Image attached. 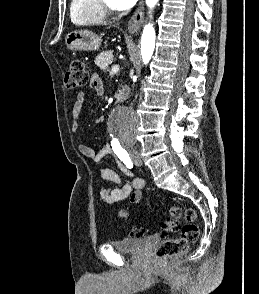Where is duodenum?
Instances as JSON below:
<instances>
[{
	"label": "duodenum",
	"mask_w": 259,
	"mask_h": 294,
	"mask_svg": "<svg viewBox=\"0 0 259 294\" xmlns=\"http://www.w3.org/2000/svg\"><path fill=\"white\" fill-rule=\"evenodd\" d=\"M129 94V88L127 86H124L120 89V91L117 94V102L121 103Z\"/></svg>",
	"instance_id": "1"
}]
</instances>
